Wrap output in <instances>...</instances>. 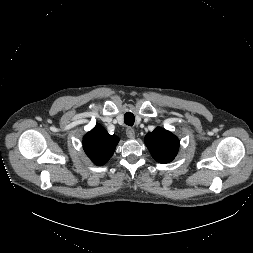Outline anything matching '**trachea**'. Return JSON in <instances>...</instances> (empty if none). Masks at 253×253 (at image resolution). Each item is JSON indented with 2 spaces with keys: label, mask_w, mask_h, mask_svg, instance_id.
I'll return each instance as SVG.
<instances>
[{
  "label": "trachea",
  "mask_w": 253,
  "mask_h": 253,
  "mask_svg": "<svg viewBox=\"0 0 253 253\" xmlns=\"http://www.w3.org/2000/svg\"><path fill=\"white\" fill-rule=\"evenodd\" d=\"M124 122L128 126H133V124L135 122V117H134L133 113H131V112L125 113Z\"/></svg>",
  "instance_id": "obj_1"
}]
</instances>
